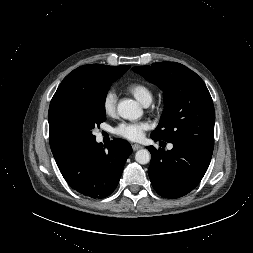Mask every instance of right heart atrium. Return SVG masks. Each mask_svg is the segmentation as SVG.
I'll list each match as a JSON object with an SVG mask.
<instances>
[{
    "instance_id": "d8ad5b80",
    "label": "right heart atrium",
    "mask_w": 253,
    "mask_h": 253,
    "mask_svg": "<svg viewBox=\"0 0 253 253\" xmlns=\"http://www.w3.org/2000/svg\"><path fill=\"white\" fill-rule=\"evenodd\" d=\"M116 102H117V96L115 92L112 90L107 91L102 101L103 112L107 116H112L115 113Z\"/></svg>"
}]
</instances>
